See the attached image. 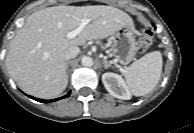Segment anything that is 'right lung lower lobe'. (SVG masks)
I'll use <instances>...</instances> for the list:
<instances>
[{"label":"right lung lower lobe","instance_id":"right-lung-lower-lobe-1","mask_svg":"<svg viewBox=\"0 0 194 133\" xmlns=\"http://www.w3.org/2000/svg\"><path fill=\"white\" fill-rule=\"evenodd\" d=\"M69 95H70V93H68L67 95H65V96H63V97H61V98H57V99H53V100H42V99H37V98L31 97V96H30V98H32V99H34V100H36V101L42 102V103H48V102L57 101V100L62 99V98H66V97H68Z\"/></svg>","mask_w":194,"mask_h":133}]
</instances>
